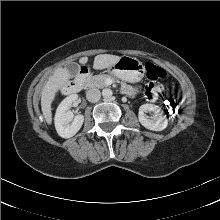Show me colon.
Here are the masks:
<instances>
[{
    "instance_id": "colon-1",
    "label": "colon",
    "mask_w": 220,
    "mask_h": 220,
    "mask_svg": "<svg viewBox=\"0 0 220 220\" xmlns=\"http://www.w3.org/2000/svg\"><path fill=\"white\" fill-rule=\"evenodd\" d=\"M145 70H146L147 78L153 82L162 79L163 77H165L166 74L163 68H161L160 66L156 65L153 62H147L145 64ZM165 104H166L167 113L171 117H175L179 113L180 102L176 97L174 96L168 97L167 100L165 101Z\"/></svg>"
}]
</instances>
